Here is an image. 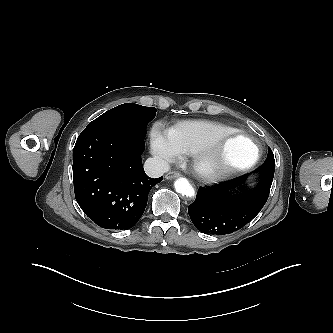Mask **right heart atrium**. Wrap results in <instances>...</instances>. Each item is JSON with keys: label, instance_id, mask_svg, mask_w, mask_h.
<instances>
[{"label": "right heart atrium", "instance_id": "1", "mask_svg": "<svg viewBox=\"0 0 333 333\" xmlns=\"http://www.w3.org/2000/svg\"><path fill=\"white\" fill-rule=\"evenodd\" d=\"M151 151L163 166L175 162L183 154L170 131L159 124L155 125L151 131Z\"/></svg>", "mask_w": 333, "mask_h": 333}]
</instances>
